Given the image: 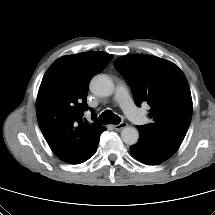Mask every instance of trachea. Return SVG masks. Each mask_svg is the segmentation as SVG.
Wrapping results in <instances>:
<instances>
[{
    "label": "trachea",
    "mask_w": 215,
    "mask_h": 215,
    "mask_svg": "<svg viewBox=\"0 0 215 215\" xmlns=\"http://www.w3.org/2000/svg\"><path fill=\"white\" fill-rule=\"evenodd\" d=\"M120 122V117L113 114L111 111L106 110L103 112L97 121L98 125H105V124H118Z\"/></svg>",
    "instance_id": "1"
}]
</instances>
